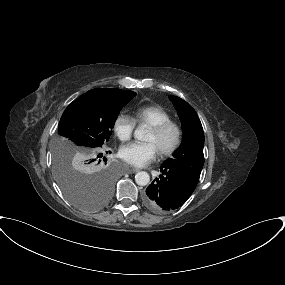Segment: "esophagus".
I'll return each instance as SVG.
<instances>
[{"label":"esophagus","instance_id":"obj_1","mask_svg":"<svg viewBox=\"0 0 285 285\" xmlns=\"http://www.w3.org/2000/svg\"><path fill=\"white\" fill-rule=\"evenodd\" d=\"M140 170H141L140 168H133V169H132V172H133V173H136V172H139Z\"/></svg>","mask_w":285,"mask_h":285}]
</instances>
